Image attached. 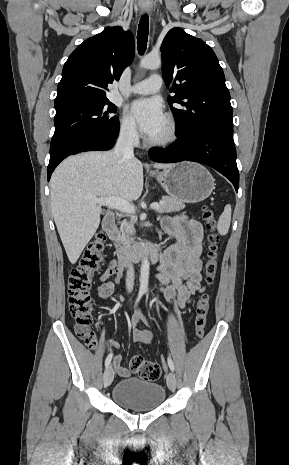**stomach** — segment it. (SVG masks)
<instances>
[{
	"instance_id": "stomach-1",
	"label": "stomach",
	"mask_w": 289,
	"mask_h": 465,
	"mask_svg": "<svg viewBox=\"0 0 289 465\" xmlns=\"http://www.w3.org/2000/svg\"><path fill=\"white\" fill-rule=\"evenodd\" d=\"M154 175L170 197L184 203L201 202L214 190L212 175L198 163H176Z\"/></svg>"
}]
</instances>
